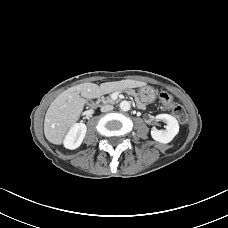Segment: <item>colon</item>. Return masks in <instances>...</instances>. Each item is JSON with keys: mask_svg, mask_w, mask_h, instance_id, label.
Instances as JSON below:
<instances>
[{"mask_svg": "<svg viewBox=\"0 0 228 228\" xmlns=\"http://www.w3.org/2000/svg\"><path fill=\"white\" fill-rule=\"evenodd\" d=\"M159 98L163 106L169 110L179 122L184 123L186 121L187 114L184 108L175 102L174 98L171 95L167 93H160Z\"/></svg>", "mask_w": 228, "mask_h": 228, "instance_id": "colon-1", "label": "colon"}]
</instances>
